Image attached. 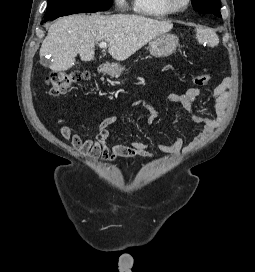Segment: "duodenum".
I'll return each instance as SVG.
<instances>
[{
	"mask_svg": "<svg viewBox=\"0 0 255 272\" xmlns=\"http://www.w3.org/2000/svg\"><path fill=\"white\" fill-rule=\"evenodd\" d=\"M99 72H100L102 75H106V74H108V72H109V68H108V66H106V65H102V66H100V68H99Z\"/></svg>",
	"mask_w": 255,
	"mask_h": 272,
	"instance_id": "duodenum-1",
	"label": "duodenum"
}]
</instances>
